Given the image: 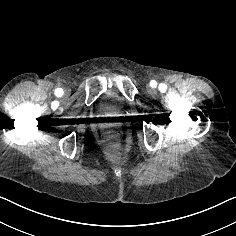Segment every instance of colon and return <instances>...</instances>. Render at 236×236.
Here are the masks:
<instances>
[{"mask_svg":"<svg viewBox=\"0 0 236 236\" xmlns=\"http://www.w3.org/2000/svg\"><path fill=\"white\" fill-rule=\"evenodd\" d=\"M107 150L109 154L113 157H120L123 153V147L119 142L110 141L107 144Z\"/></svg>","mask_w":236,"mask_h":236,"instance_id":"5ec220e1","label":"colon"}]
</instances>
